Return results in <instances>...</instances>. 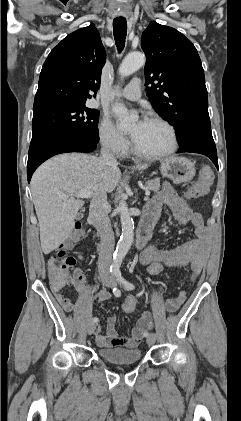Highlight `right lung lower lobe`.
<instances>
[{
    "label": "right lung lower lobe",
    "mask_w": 241,
    "mask_h": 421,
    "mask_svg": "<svg viewBox=\"0 0 241 421\" xmlns=\"http://www.w3.org/2000/svg\"><path fill=\"white\" fill-rule=\"evenodd\" d=\"M96 147L97 143L74 135H49L32 140L27 163L28 182L36 168L50 157L67 152H92Z\"/></svg>",
    "instance_id": "1"
}]
</instances>
